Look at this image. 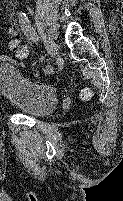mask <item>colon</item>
I'll return each instance as SVG.
<instances>
[{"label":"colon","mask_w":123,"mask_h":201,"mask_svg":"<svg viewBox=\"0 0 123 201\" xmlns=\"http://www.w3.org/2000/svg\"><path fill=\"white\" fill-rule=\"evenodd\" d=\"M9 47L16 53L17 57L23 59L27 56V49L20 45V43L15 40L11 39L8 42ZM92 96V92L89 89H85L82 91L81 97L84 100H89Z\"/></svg>","instance_id":"colon-1"}]
</instances>
